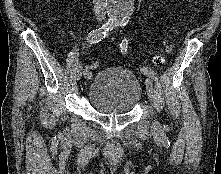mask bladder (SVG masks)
Segmentation results:
<instances>
[{
  "mask_svg": "<svg viewBox=\"0 0 221 174\" xmlns=\"http://www.w3.org/2000/svg\"><path fill=\"white\" fill-rule=\"evenodd\" d=\"M141 97L142 87L137 77L120 66L98 71L87 90L89 103L103 114H127L139 104Z\"/></svg>",
  "mask_w": 221,
  "mask_h": 174,
  "instance_id": "1",
  "label": "bladder"
}]
</instances>
